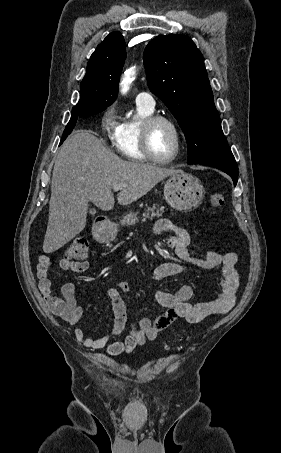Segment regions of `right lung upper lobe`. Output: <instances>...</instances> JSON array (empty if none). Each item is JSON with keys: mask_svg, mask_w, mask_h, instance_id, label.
<instances>
[{"mask_svg": "<svg viewBox=\"0 0 281 453\" xmlns=\"http://www.w3.org/2000/svg\"><path fill=\"white\" fill-rule=\"evenodd\" d=\"M126 58V45L120 32L110 33L98 45L87 65L80 85L81 98L73 109L91 107L102 111L118 95V82Z\"/></svg>", "mask_w": 281, "mask_h": 453, "instance_id": "cb5924a9", "label": "right lung upper lobe"}]
</instances>
